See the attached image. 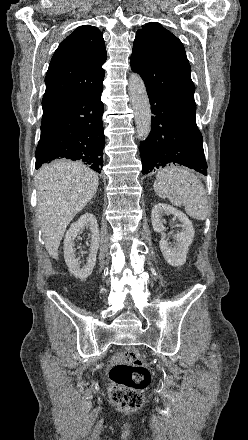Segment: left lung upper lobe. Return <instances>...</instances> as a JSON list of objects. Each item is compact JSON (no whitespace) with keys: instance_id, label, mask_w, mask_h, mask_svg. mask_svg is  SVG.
<instances>
[{"instance_id":"obj_1","label":"left lung upper lobe","mask_w":248,"mask_h":440,"mask_svg":"<svg viewBox=\"0 0 248 440\" xmlns=\"http://www.w3.org/2000/svg\"><path fill=\"white\" fill-rule=\"evenodd\" d=\"M131 68L144 80L147 93L157 94L183 114L195 118V86L182 42L156 22L136 33Z\"/></svg>"}]
</instances>
